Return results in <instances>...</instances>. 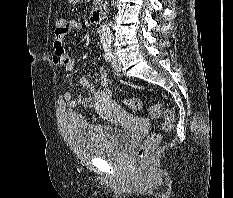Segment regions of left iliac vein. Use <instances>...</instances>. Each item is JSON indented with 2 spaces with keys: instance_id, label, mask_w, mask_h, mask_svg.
Listing matches in <instances>:
<instances>
[{
  "instance_id": "1",
  "label": "left iliac vein",
  "mask_w": 233,
  "mask_h": 198,
  "mask_svg": "<svg viewBox=\"0 0 233 198\" xmlns=\"http://www.w3.org/2000/svg\"><path fill=\"white\" fill-rule=\"evenodd\" d=\"M112 68L117 72H120L122 69L121 62L115 53H113V56H112Z\"/></svg>"
}]
</instances>
